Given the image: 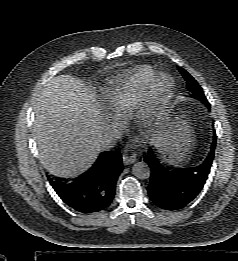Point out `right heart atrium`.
Wrapping results in <instances>:
<instances>
[{
	"mask_svg": "<svg viewBox=\"0 0 238 261\" xmlns=\"http://www.w3.org/2000/svg\"><path fill=\"white\" fill-rule=\"evenodd\" d=\"M110 120H111L113 123H115V124H117V123L119 122V118H118V117H115V116H112V117L110 118Z\"/></svg>",
	"mask_w": 238,
	"mask_h": 261,
	"instance_id": "obj_1",
	"label": "right heart atrium"
}]
</instances>
